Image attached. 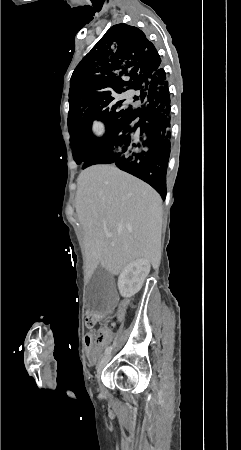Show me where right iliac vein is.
<instances>
[{
  "label": "right iliac vein",
  "instance_id": "obj_1",
  "mask_svg": "<svg viewBox=\"0 0 241 450\" xmlns=\"http://www.w3.org/2000/svg\"><path fill=\"white\" fill-rule=\"evenodd\" d=\"M110 358H111V355H107V356H105V357L102 359V361H101V363H100V365H99V369H98V377L101 375V370H102L103 367L108 363V361L110 360Z\"/></svg>",
  "mask_w": 241,
  "mask_h": 450
}]
</instances>
